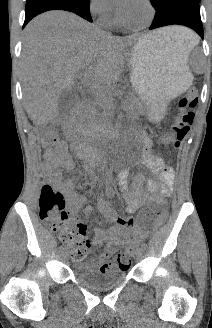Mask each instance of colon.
I'll list each match as a JSON object with an SVG mask.
<instances>
[{
    "label": "colon",
    "instance_id": "obj_1",
    "mask_svg": "<svg viewBox=\"0 0 212 328\" xmlns=\"http://www.w3.org/2000/svg\"><path fill=\"white\" fill-rule=\"evenodd\" d=\"M198 102V91L195 88L188 90L186 95L179 101V113L167 136L163 139V144L168 147L178 148L187 136L194 120V108ZM58 143V136L51 131L44 135L42 144L45 147H52ZM40 218L54 230L59 231L60 241L70 250L72 256L80 259L86 254L88 240L85 238L86 227L83 224L69 226V213L65 210V200L63 194L53 186L45 184L42 186L39 197ZM166 210L156 211V227L162 226L167 220ZM117 265L121 270H126L130 266V256L128 253L119 255Z\"/></svg>",
    "mask_w": 212,
    "mask_h": 328
}]
</instances>
